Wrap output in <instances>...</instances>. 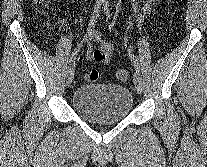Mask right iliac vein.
I'll list each match as a JSON object with an SVG mask.
<instances>
[{
  "instance_id": "63e3f726",
  "label": "right iliac vein",
  "mask_w": 207,
  "mask_h": 167,
  "mask_svg": "<svg viewBox=\"0 0 207 167\" xmlns=\"http://www.w3.org/2000/svg\"><path fill=\"white\" fill-rule=\"evenodd\" d=\"M74 73H75V65L74 64H71L68 67L67 73H66V83H67L68 86H70L71 83L73 82Z\"/></svg>"
}]
</instances>
